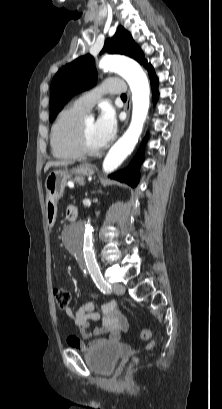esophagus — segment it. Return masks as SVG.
<instances>
[{
    "label": "esophagus",
    "mask_w": 222,
    "mask_h": 409,
    "mask_svg": "<svg viewBox=\"0 0 222 409\" xmlns=\"http://www.w3.org/2000/svg\"><path fill=\"white\" fill-rule=\"evenodd\" d=\"M130 109H131V93H130V91H128L127 92V102H126L127 118H126V121L124 122L123 128L127 125L128 121H129Z\"/></svg>",
    "instance_id": "34e87169"
}]
</instances>
